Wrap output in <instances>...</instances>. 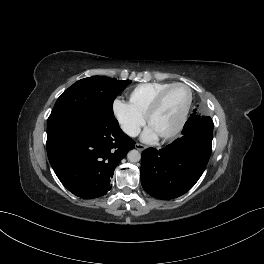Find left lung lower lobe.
Wrapping results in <instances>:
<instances>
[{"instance_id": "obj_1", "label": "left lung lower lobe", "mask_w": 264, "mask_h": 264, "mask_svg": "<svg viewBox=\"0 0 264 264\" xmlns=\"http://www.w3.org/2000/svg\"><path fill=\"white\" fill-rule=\"evenodd\" d=\"M195 112L184 125L183 137L160 150L142 152L141 184L150 196L162 200L179 197L202 175L211 154L213 121Z\"/></svg>"}]
</instances>
